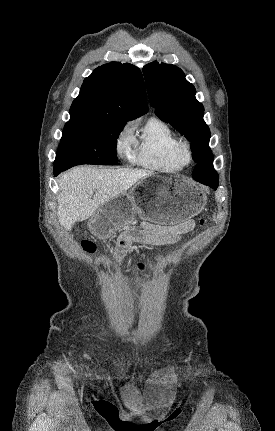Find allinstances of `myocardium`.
<instances>
[{"mask_svg":"<svg viewBox=\"0 0 275 431\" xmlns=\"http://www.w3.org/2000/svg\"><path fill=\"white\" fill-rule=\"evenodd\" d=\"M180 155L185 163L189 162L192 159V150L189 142L183 141L180 143Z\"/></svg>","mask_w":275,"mask_h":431,"instance_id":"f54148a6","label":"myocardium"}]
</instances>
